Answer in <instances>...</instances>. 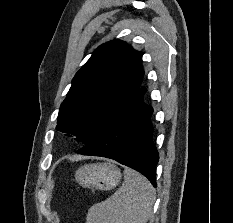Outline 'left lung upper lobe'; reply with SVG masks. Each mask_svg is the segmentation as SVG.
Instances as JSON below:
<instances>
[{"label":"left lung upper lobe","instance_id":"5c2ea615","mask_svg":"<svg viewBox=\"0 0 233 223\" xmlns=\"http://www.w3.org/2000/svg\"><path fill=\"white\" fill-rule=\"evenodd\" d=\"M142 53L126 42L99 46L76 73L59 110L56 130L87 145L137 92L144 71Z\"/></svg>","mask_w":233,"mask_h":223}]
</instances>
